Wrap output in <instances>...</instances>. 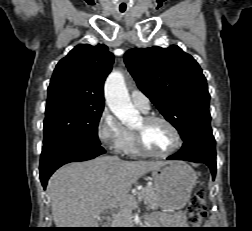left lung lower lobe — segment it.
<instances>
[{"label":"left lung lower lobe","instance_id":"obj_1","mask_svg":"<svg viewBox=\"0 0 252 231\" xmlns=\"http://www.w3.org/2000/svg\"><path fill=\"white\" fill-rule=\"evenodd\" d=\"M167 159L206 164L216 174L215 139L212 133H197L184 140L182 148Z\"/></svg>","mask_w":252,"mask_h":231}]
</instances>
